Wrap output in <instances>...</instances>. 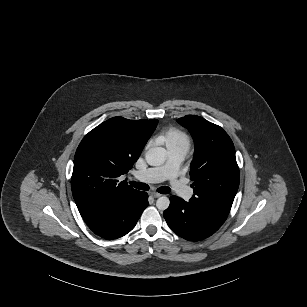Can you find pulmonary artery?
Returning <instances> with one entry per match:
<instances>
[{"mask_svg": "<svg viewBox=\"0 0 307 307\" xmlns=\"http://www.w3.org/2000/svg\"><path fill=\"white\" fill-rule=\"evenodd\" d=\"M187 149L169 150V163L162 167L150 168L149 171L141 169L136 174V179L141 184L148 182L157 184L166 179L171 178L174 173V166L180 163L186 156ZM174 187L178 191V195L183 200H188L193 195V190L189 186V182L184 177H179L174 182Z\"/></svg>", "mask_w": 307, "mask_h": 307, "instance_id": "obj_1", "label": "pulmonary artery"}]
</instances>
